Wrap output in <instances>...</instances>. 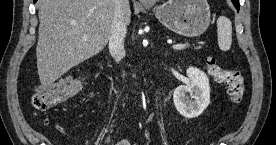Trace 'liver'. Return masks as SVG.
<instances>
[{"mask_svg":"<svg viewBox=\"0 0 276 145\" xmlns=\"http://www.w3.org/2000/svg\"><path fill=\"white\" fill-rule=\"evenodd\" d=\"M36 48L41 84L52 85L69 69L102 51L110 38L114 0H39ZM130 23V6L124 10ZM83 36H87L83 40Z\"/></svg>","mask_w":276,"mask_h":145,"instance_id":"1","label":"liver"}]
</instances>
